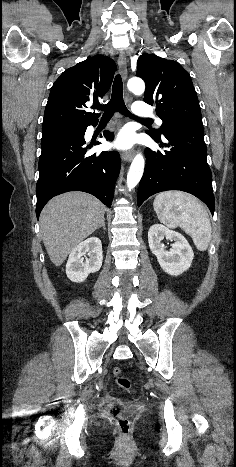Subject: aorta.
<instances>
[{"instance_id": "aorta-1", "label": "aorta", "mask_w": 236, "mask_h": 467, "mask_svg": "<svg viewBox=\"0 0 236 467\" xmlns=\"http://www.w3.org/2000/svg\"><path fill=\"white\" fill-rule=\"evenodd\" d=\"M127 87L129 91L136 95H141L145 91V83L140 78H132L128 81ZM144 157L142 154H137L130 166L128 175H127V186L131 190L133 189L140 181L143 172H144Z\"/></svg>"}]
</instances>
